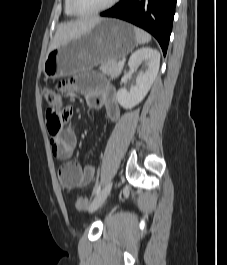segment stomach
I'll return each instance as SVG.
<instances>
[{
  "mask_svg": "<svg viewBox=\"0 0 227 265\" xmlns=\"http://www.w3.org/2000/svg\"><path fill=\"white\" fill-rule=\"evenodd\" d=\"M136 43L132 25L117 19H102L90 32L51 50L43 62V73L56 79L107 61H119Z\"/></svg>",
  "mask_w": 227,
  "mask_h": 265,
  "instance_id": "1",
  "label": "stomach"
}]
</instances>
